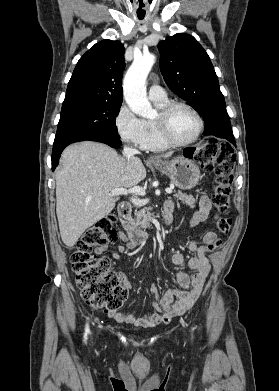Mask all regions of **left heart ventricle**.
Returning a JSON list of instances; mask_svg holds the SVG:
<instances>
[{
  "mask_svg": "<svg viewBox=\"0 0 279 391\" xmlns=\"http://www.w3.org/2000/svg\"><path fill=\"white\" fill-rule=\"evenodd\" d=\"M198 129L196 117L186 108H176L170 117V132L176 141L191 139Z\"/></svg>",
  "mask_w": 279,
  "mask_h": 391,
  "instance_id": "1",
  "label": "left heart ventricle"
}]
</instances>
